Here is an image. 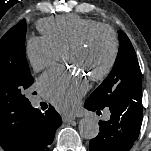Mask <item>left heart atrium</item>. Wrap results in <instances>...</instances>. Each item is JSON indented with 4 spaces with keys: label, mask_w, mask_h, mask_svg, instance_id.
I'll list each match as a JSON object with an SVG mask.
<instances>
[{
    "label": "left heart atrium",
    "mask_w": 151,
    "mask_h": 151,
    "mask_svg": "<svg viewBox=\"0 0 151 151\" xmlns=\"http://www.w3.org/2000/svg\"><path fill=\"white\" fill-rule=\"evenodd\" d=\"M39 87L43 95L57 108L69 110L87 92L88 81L80 73L56 68L40 78Z\"/></svg>",
    "instance_id": "1"
}]
</instances>
